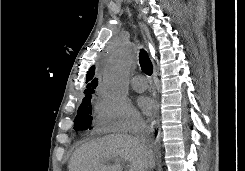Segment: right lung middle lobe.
I'll return each mask as SVG.
<instances>
[{"label":"right lung middle lobe","mask_w":245,"mask_h":171,"mask_svg":"<svg viewBox=\"0 0 245 171\" xmlns=\"http://www.w3.org/2000/svg\"><path fill=\"white\" fill-rule=\"evenodd\" d=\"M92 104L91 96L85 97L83 102L78 108L77 116L74 120L75 126L74 129H88L91 126L92 121Z\"/></svg>","instance_id":"obj_1"}]
</instances>
